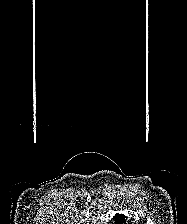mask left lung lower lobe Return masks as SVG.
<instances>
[{"label":"left lung lower lobe","mask_w":187,"mask_h":224,"mask_svg":"<svg viewBox=\"0 0 187 224\" xmlns=\"http://www.w3.org/2000/svg\"><path fill=\"white\" fill-rule=\"evenodd\" d=\"M115 224H126L127 217L123 214H116L114 216Z\"/></svg>","instance_id":"0a47b994"}]
</instances>
